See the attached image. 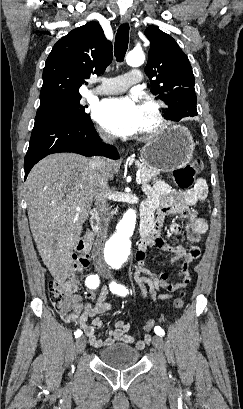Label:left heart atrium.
Returning <instances> with one entry per match:
<instances>
[{"instance_id": "obj_1", "label": "left heart atrium", "mask_w": 243, "mask_h": 409, "mask_svg": "<svg viewBox=\"0 0 243 409\" xmlns=\"http://www.w3.org/2000/svg\"><path fill=\"white\" fill-rule=\"evenodd\" d=\"M94 118L114 135H132L140 128V105L133 97L104 100L96 107Z\"/></svg>"}]
</instances>
